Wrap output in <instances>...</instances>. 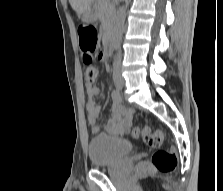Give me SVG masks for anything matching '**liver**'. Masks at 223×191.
<instances>
[{
    "mask_svg": "<svg viewBox=\"0 0 223 191\" xmlns=\"http://www.w3.org/2000/svg\"><path fill=\"white\" fill-rule=\"evenodd\" d=\"M72 8L78 15H81L87 8L90 7L93 0H69Z\"/></svg>",
    "mask_w": 223,
    "mask_h": 191,
    "instance_id": "6515ba94",
    "label": "liver"
}]
</instances>
